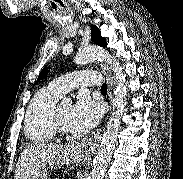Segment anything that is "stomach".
<instances>
[{
  "mask_svg": "<svg viewBox=\"0 0 183 179\" xmlns=\"http://www.w3.org/2000/svg\"><path fill=\"white\" fill-rule=\"evenodd\" d=\"M88 151L85 147L70 144L48 166L35 173L30 179H49L48 168H57L64 164H83L88 158Z\"/></svg>",
  "mask_w": 183,
  "mask_h": 179,
  "instance_id": "0dacf381",
  "label": "stomach"
}]
</instances>
